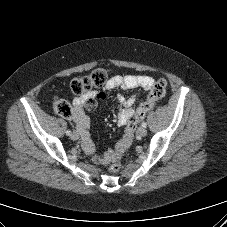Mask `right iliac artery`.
Masks as SVG:
<instances>
[{"label": "right iliac artery", "mask_w": 227, "mask_h": 227, "mask_svg": "<svg viewBox=\"0 0 227 227\" xmlns=\"http://www.w3.org/2000/svg\"><path fill=\"white\" fill-rule=\"evenodd\" d=\"M66 135H67V136H70V135H71V131L67 130V131H66Z\"/></svg>", "instance_id": "obj_1"}]
</instances>
